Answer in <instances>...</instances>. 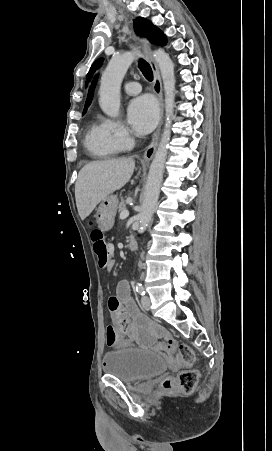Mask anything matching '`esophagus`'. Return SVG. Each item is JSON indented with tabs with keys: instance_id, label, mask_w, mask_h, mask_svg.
Here are the masks:
<instances>
[{
	"instance_id": "1",
	"label": "esophagus",
	"mask_w": 272,
	"mask_h": 451,
	"mask_svg": "<svg viewBox=\"0 0 272 451\" xmlns=\"http://www.w3.org/2000/svg\"><path fill=\"white\" fill-rule=\"evenodd\" d=\"M144 48H145L147 60L150 63V66H151L153 74H154L153 91L158 98L159 105H160V112H161V120H160L159 127L154 134L152 142L150 143V145L144 152V157H143L144 161L148 162L153 158L157 144H158L159 134H160L161 126L163 123L164 104H163L162 83H161V76H160L159 68L153 59V56L150 51V46L147 42H146V45Z\"/></svg>"
}]
</instances>
